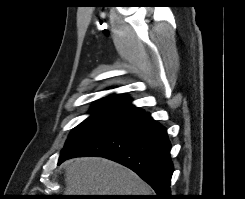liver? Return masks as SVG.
Instances as JSON below:
<instances>
[{"label": "liver", "mask_w": 245, "mask_h": 199, "mask_svg": "<svg viewBox=\"0 0 245 199\" xmlns=\"http://www.w3.org/2000/svg\"><path fill=\"white\" fill-rule=\"evenodd\" d=\"M66 195H151L152 189L131 170L108 159L77 158L66 164Z\"/></svg>", "instance_id": "obj_1"}]
</instances>
